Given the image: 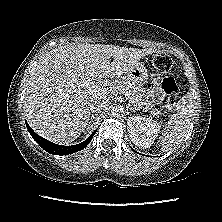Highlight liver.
<instances>
[{
	"label": "liver",
	"instance_id": "6515ba94",
	"mask_svg": "<svg viewBox=\"0 0 222 222\" xmlns=\"http://www.w3.org/2000/svg\"><path fill=\"white\" fill-rule=\"evenodd\" d=\"M155 51L75 43L51 50L28 81L23 105L30 127L57 144L74 141L88 125L91 105L117 93L127 71Z\"/></svg>",
	"mask_w": 222,
	"mask_h": 222
}]
</instances>
